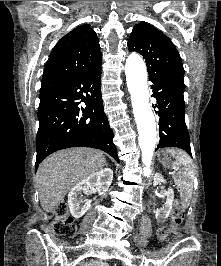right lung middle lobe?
<instances>
[{
	"mask_svg": "<svg viewBox=\"0 0 221 266\" xmlns=\"http://www.w3.org/2000/svg\"><path fill=\"white\" fill-rule=\"evenodd\" d=\"M52 88L53 87H48V86L41 87V89H40V95L44 94L45 92L49 91Z\"/></svg>",
	"mask_w": 221,
	"mask_h": 266,
	"instance_id": "obj_1",
	"label": "right lung middle lobe"
}]
</instances>
